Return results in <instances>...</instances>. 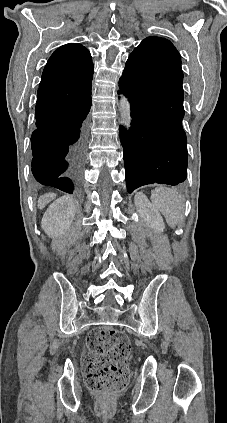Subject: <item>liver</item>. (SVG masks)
Returning <instances> with one entry per match:
<instances>
[{"label": "liver", "mask_w": 227, "mask_h": 423, "mask_svg": "<svg viewBox=\"0 0 227 423\" xmlns=\"http://www.w3.org/2000/svg\"><path fill=\"white\" fill-rule=\"evenodd\" d=\"M56 194H44V196H40L38 198V208L39 210H43L49 202H52V200H55Z\"/></svg>", "instance_id": "liver-1"}]
</instances>
